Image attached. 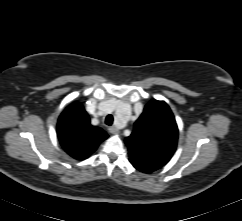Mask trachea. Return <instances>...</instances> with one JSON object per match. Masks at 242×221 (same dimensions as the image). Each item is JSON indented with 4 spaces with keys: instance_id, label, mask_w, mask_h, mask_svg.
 <instances>
[{
    "instance_id": "obj_1",
    "label": "trachea",
    "mask_w": 242,
    "mask_h": 221,
    "mask_svg": "<svg viewBox=\"0 0 242 221\" xmlns=\"http://www.w3.org/2000/svg\"><path fill=\"white\" fill-rule=\"evenodd\" d=\"M113 116L111 114L107 115L106 118H105V124L107 125H112L113 124Z\"/></svg>"
}]
</instances>
